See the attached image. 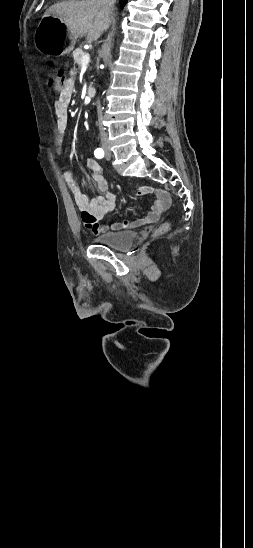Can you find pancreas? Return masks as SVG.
<instances>
[{
    "label": "pancreas",
    "instance_id": "1",
    "mask_svg": "<svg viewBox=\"0 0 253 548\" xmlns=\"http://www.w3.org/2000/svg\"><path fill=\"white\" fill-rule=\"evenodd\" d=\"M84 55H85V52L81 48H78L73 51L74 61L75 63L78 64L79 67H81L82 65L81 60Z\"/></svg>",
    "mask_w": 253,
    "mask_h": 548
}]
</instances>
